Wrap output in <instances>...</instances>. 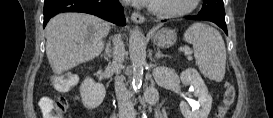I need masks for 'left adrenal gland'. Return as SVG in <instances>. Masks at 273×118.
<instances>
[{"label":"left adrenal gland","mask_w":273,"mask_h":118,"mask_svg":"<svg viewBox=\"0 0 273 118\" xmlns=\"http://www.w3.org/2000/svg\"><path fill=\"white\" fill-rule=\"evenodd\" d=\"M163 57V55L161 54V52H160V50H159V48L157 49V53H156V58L157 59H160V58H162Z\"/></svg>","instance_id":"a2214340"}]
</instances>
